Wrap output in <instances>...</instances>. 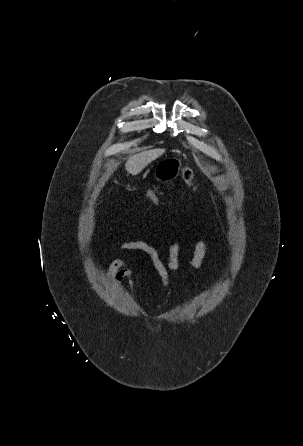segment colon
Here are the masks:
<instances>
[{
	"instance_id": "obj_1",
	"label": "colon",
	"mask_w": 303,
	"mask_h": 446,
	"mask_svg": "<svg viewBox=\"0 0 303 446\" xmlns=\"http://www.w3.org/2000/svg\"><path fill=\"white\" fill-rule=\"evenodd\" d=\"M181 177L188 185H190L194 189L196 188L195 176L191 169L183 168L181 170ZM159 194H160L159 188H157V187L152 188L147 195L148 200L155 201L156 198L159 196Z\"/></svg>"
}]
</instances>
